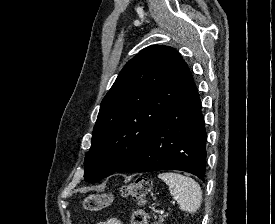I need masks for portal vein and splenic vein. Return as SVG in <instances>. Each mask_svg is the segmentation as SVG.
<instances>
[{
  "mask_svg": "<svg viewBox=\"0 0 275 224\" xmlns=\"http://www.w3.org/2000/svg\"><path fill=\"white\" fill-rule=\"evenodd\" d=\"M160 213H161V214H163V213H164V211H163V210H161V211H160Z\"/></svg>",
  "mask_w": 275,
  "mask_h": 224,
  "instance_id": "portal-vein-and-splenic-vein-1",
  "label": "portal vein and splenic vein"
}]
</instances>
